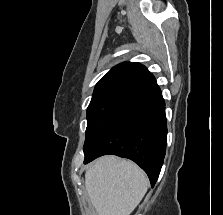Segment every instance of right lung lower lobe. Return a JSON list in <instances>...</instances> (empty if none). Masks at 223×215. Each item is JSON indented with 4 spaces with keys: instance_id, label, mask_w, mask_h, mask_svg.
Masks as SVG:
<instances>
[{
    "instance_id": "right-lung-lower-lobe-1",
    "label": "right lung lower lobe",
    "mask_w": 223,
    "mask_h": 215,
    "mask_svg": "<svg viewBox=\"0 0 223 215\" xmlns=\"http://www.w3.org/2000/svg\"><path fill=\"white\" fill-rule=\"evenodd\" d=\"M166 139L165 102L159 90L134 106L85 154L84 162L107 154L131 159L148 174L153 187L163 164Z\"/></svg>"
}]
</instances>
